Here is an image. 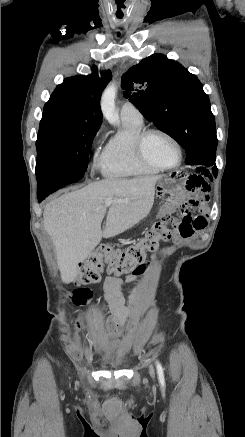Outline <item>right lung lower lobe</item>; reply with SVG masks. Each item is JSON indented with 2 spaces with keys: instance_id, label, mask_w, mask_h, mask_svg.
I'll list each match as a JSON object with an SVG mask.
<instances>
[{
  "instance_id": "98d812e1",
  "label": "right lung lower lobe",
  "mask_w": 245,
  "mask_h": 437,
  "mask_svg": "<svg viewBox=\"0 0 245 437\" xmlns=\"http://www.w3.org/2000/svg\"><path fill=\"white\" fill-rule=\"evenodd\" d=\"M84 175L70 173H48L37 179L38 202L43 201L48 195L56 190L80 180Z\"/></svg>"
}]
</instances>
